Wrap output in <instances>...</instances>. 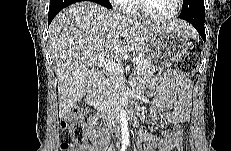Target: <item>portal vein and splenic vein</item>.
I'll list each match as a JSON object with an SVG mask.
<instances>
[{"label":"portal vein and splenic vein","mask_w":231,"mask_h":151,"mask_svg":"<svg viewBox=\"0 0 231 151\" xmlns=\"http://www.w3.org/2000/svg\"><path fill=\"white\" fill-rule=\"evenodd\" d=\"M139 61H140V58L136 57L133 59L132 62L134 64H138ZM95 62L99 64V66L104 67L108 72L120 74L123 71L122 66L119 63L106 59L104 54H99L96 57Z\"/></svg>","instance_id":"obj_1"}]
</instances>
